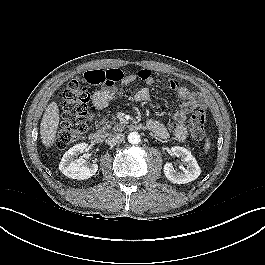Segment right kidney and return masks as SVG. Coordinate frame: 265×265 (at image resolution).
Returning <instances> with one entry per match:
<instances>
[{
	"instance_id": "1",
	"label": "right kidney",
	"mask_w": 265,
	"mask_h": 265,
	"mask_svg": "<svg viewBox=\"0 0 265 265\" xmlns=\"http://www.w3.org/2000/svg\"><path fill=\"white\" fill-rule=\"evenodd\" d=\"M87 147L88 144L85 142L79 143L71 147L63 155L59 164V169L65 176L72 179L84 180L95 175L98 170L97 164L88 165L86 159L83 157L74 159V156L86 152Z\"/></svg>"
}]
</instances>
